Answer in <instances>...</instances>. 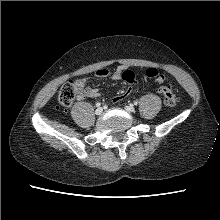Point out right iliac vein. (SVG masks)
Instances as JSON below:
<instances>
[{
    "label": "right iliac vein",
    "instance_id": "1",
    "mask_svg": "<svg viewBox=\"0 0 220 220\" xmlns=\"http://www.w3.org/2000/svg\"><path fill=\"white\" fill-rule=\"evenodd\" d=\"M102 112H103V109H102L101 107H99V108H97V109L95 110V114H96V115H101Z\"/></svg>",
    "mask_w": 220,
    "mask_h": 220
}]
</instances>
